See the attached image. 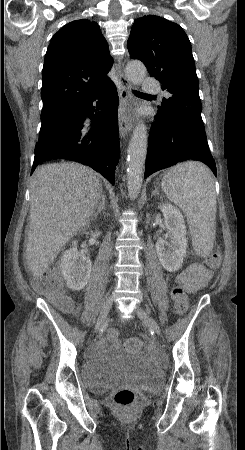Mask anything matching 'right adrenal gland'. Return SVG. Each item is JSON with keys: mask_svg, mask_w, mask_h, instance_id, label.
<instances>
[{"mask_svg": "<svg viewBox=\"0 0 245 450\" xmlns=\"http://www.w3.org/2000/svg\"><path fill=\"white\" fill-rule=\"evenodd\" d=\"M105 206H106V196H105L104 192L101 191L100 199L98 202V208H97V211L95 212L94 216L97 217L101 213V211L105 210Z\"/></svg>", "mask_w": 245, "mask_h": 450, "instance_id": "1", "label": "right adrenal gland"}]
</instances>
